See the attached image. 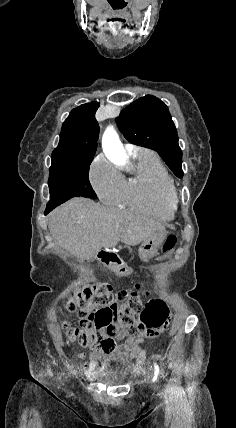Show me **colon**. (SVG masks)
<instances>
[{"instance_id":"5ec220e1","label":"colon","mask_w":236,"mask_h":428,"mask_svg":"<svg viewBox=\"0 0 236 428\" xmlns=\"http://www.w3.org/2000/svg\"><path fill=\"white\" fill-rule=\"evenodd\" d=\"M176 237L169 235L162 250L168 253L176 245ZM141 285L135 290L113 292L103 282H90L77 287L69 304L77 311V326L66 327V337L93 351L112 353L117 348L116 334L124 327L130 334L163 330L169 323L170 312L161 301L152 300L142 307Z\"/></svg>"}]
</instances>
